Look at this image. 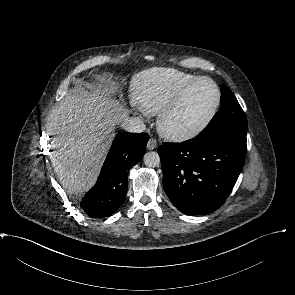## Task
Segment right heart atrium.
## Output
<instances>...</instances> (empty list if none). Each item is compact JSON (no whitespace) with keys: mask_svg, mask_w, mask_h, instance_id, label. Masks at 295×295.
Returning a JSON list of instances; mask_svg holds the SVG:
<instances>
[{"mask_svg":"<svg viewBox=\"0 0 295 295\" xmlns=\"http://www.w3.org/2000/svg\"><path fill=\"white\" fill-rule=\"evenodd\" d=\"M140 112L142 113V114H144V115H148L149 113L148 112H146L142 107H140Z\"/></svg>","mask_w":295,"mask_h":295,"instance_id":"1","label":"right heart atrium"}]
</instances>
